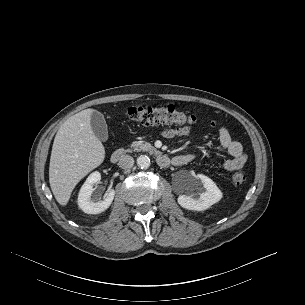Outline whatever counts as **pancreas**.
Segmentation results:
<instances>
[{"label":"pancreas","mask_w":305,"mask_h":305,"mask_svg":"<svg viewBox=\"0 0 305 305\" xmlns=\"http://www.w3.org/2000/svg\"><path fill=\"white\" fill-rule=\"evenodd\" d=\"M131 149H127V152H132V151H147V152H153L156 149L147 142L144 141H134L130 145Z\"/></svg>","instance_id":"pancreas-1"}]
</instances>
